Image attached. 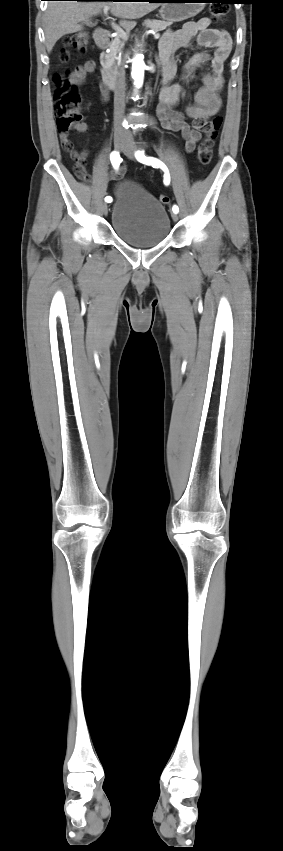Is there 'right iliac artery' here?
I'll return each mask as SVG.
<instances>
[{"instance_id": "obj_1", "label": "right iliac artery", "mask_w": 283, "mask_h": 851, "mask_svg": "<svg viewBox=\"0 0 283 851\" xmlns=\"http://www.w3.org/2000/svg\"><path fill=\"white\" fill-rule=\"evenodd\" d=\"M110 160H111V163H112V165H113L114 169H115V170H118L119 165H120V163H121V161H122V159H121V157H120L119 153H118V152H116V151H113V152L111 153V155H110ZM105 201H106V202H111V201H112V198H111L110 196H107V197L105 198Z\"/></svg>"}]
</instances>
